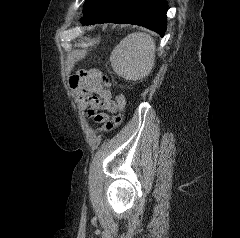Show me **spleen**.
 Segmentation results:
<instances>
[{"label":"spleen","instance_id":"spleen-1","mask_svg":"<svg viewBox=\"0 0 240 238\" xmlns=\"http://www.w3.org/2000/svg\"><path fill=\"white\" fill-rule=\"evenodd\" d=\"M110 61L114 71L124 79H143L154 66V39L146 33H131L113 49Z\"/></svg>","mask_w":240,"mask_h":238}]
</instances>
